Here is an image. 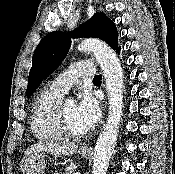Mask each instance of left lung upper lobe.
Returning <instances> with one entry per match:
<instances>
[{
  "label": "left lung upper lobe",
  "instance_id": "left-lung-upper-lobe-1",
  "mask_svg": "<svg viewBox=\"0 0 175 174\" xmlns=\"http://www.w3.org/2000/svg\"><path fill=\"white\" fill-rule=\"evenodd\" d=\"M94 37L107 42L116 52L118 32L114 22L103 12L95 13L82 27L72 33L55 31L49 33L37 46L28 78L27 97L41 84L42 79L51 74L65 58L71 44V38Z\"/></svg>",
  "mask_w": 175,
  "mask_h": 174
}]
</instances>
